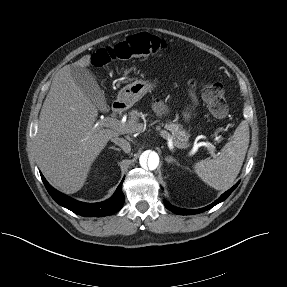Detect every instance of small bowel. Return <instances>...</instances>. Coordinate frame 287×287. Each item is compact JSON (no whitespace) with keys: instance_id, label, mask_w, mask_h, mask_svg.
I'll list each match as a JSON object with an SVG mask.
<instances>
[{"instance_id":"1","label":"small bowel","mask_w":287,"mask_h":287,"mask_svg":"<svg viewBox=\"0 0 287 287\" xmlns=\"http://www.w3.org/2000/svg\"><path fill=\"white\" fill-rule=\"evenodd\" d=\"M192 100H193V102L195 101V96H194L193 93H192ZM154 106H155L156 111H157L159 114H165L166 111H167L165 105H164L161 101H159V100L155 102ZM185 117H186V118H189V117H190V112H189V111L186 112Z\"/></svg>"}]
</instances>
